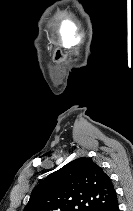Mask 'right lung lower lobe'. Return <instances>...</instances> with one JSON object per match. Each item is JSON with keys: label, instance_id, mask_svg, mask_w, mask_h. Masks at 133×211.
Returning a JSON list of instances; mask_svg holds the SVG:
<instances>
[{"label": "right lung lower lobe", "instance_id": "1", "mask_svg": "<svg viewBox=\"0 0 133 211\" xmlns=\"http://www.w3.org/2000/svg\"><path fill=\"white\" fill-rule=\"evenodd\" d=\"M108 211H119L118 210V203H116L111 209H109Z\"/></svg>", "mask_w": 133, "mask_h": 211}]
</instances>
